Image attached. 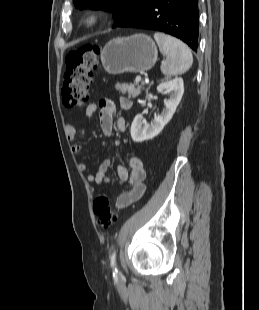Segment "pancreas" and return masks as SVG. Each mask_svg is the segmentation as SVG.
<instances>
[{
	"instance_id": "cf45deb5",
	"label": "pancreas",
	"mask_w": 259,
	"mask_h": 310,
	"mask_svg": "<svg viewBox=\"0 0 259 310\" xmlns=\"http://www.w3.org/2000/svg\"><path fill=\"white\" fill-rule=\"evenodd\" d=\"M115 88L122 94L128 93V98H136L144 89V82L141 84L135 83L128 85L127 83H117Z\"/></svg>"
}]
</instances>
